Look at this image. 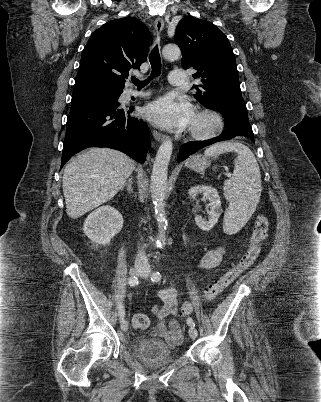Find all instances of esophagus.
<instances>
[{"instance_id": "1", "label": "esophagus", "mask_w": 321, "mask_h": 402, "mask_svg": "<svg viewBox=\"0 0 321 402\" xmlns=\"http://www.w3.org/2000/svg\"><path fill=\"white\" fill-rule=\"evenodd\" d=\"M154 27H155L156 34L159 35L163 31V28H164L163 19L157 18L155 20ZM153 135H154L155 140L158 142H162L166 139V136L164 134L159 133L157 131H154Z\"/></svg>"}]
</instances>
